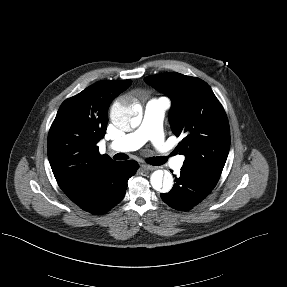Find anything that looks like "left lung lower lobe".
<instances>
[{
    "label": "left lung lower lobe",
    "instance_id": "1",
    "mask_svg": "<svg viewBox=\"0 0 287 287\" xmlns=\"http://www.w3.org/2000/svg\"><path fill=\"white\" fill-rule=\"evenodd\" d=\"M175 177V184L170 192L162 193V200L170 207L187 211L201 202L215 187L198 172L183 166L180 175Z\"/></svg>",
    "mask_w": 287,
    "mask_h": 287
}]
</instances>
